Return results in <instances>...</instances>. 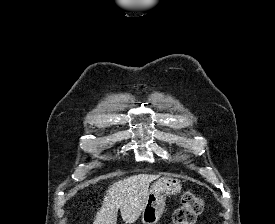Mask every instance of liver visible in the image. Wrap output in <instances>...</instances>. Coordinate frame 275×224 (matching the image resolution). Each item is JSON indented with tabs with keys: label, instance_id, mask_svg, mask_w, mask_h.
I'll use <instances>...</instances> for the list:
<instances>
[{
	"label": "liver",
	"instance_id": "liver-1",
	"mask_svg": "<svg viewBox=\"0 0 275 224\" xmlns=\"http://www.w3.org/2000/svg\"><path fill=\"white\" fill-rule=\"evenodd\" d=\"M157 177L158 175L138 174L109 186L93 224H116L118 210L126 224L135 223L145 207L149 185Z\"/></svg>",
	"mask_w": 275,
	"mask_h": 224
}]
</instances>
